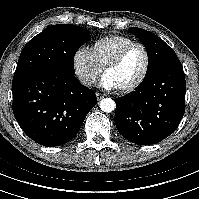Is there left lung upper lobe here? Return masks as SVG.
<instances>
[{"label":"left lung upper lobe","instance_id":"1","mask_svg":"<svg viewBox=\"0 0 199 199\" xmlns=\"http://www.w3.org/2000/svg\"><path fill=\"white\" fill-rule=\"evenodd\" d=\"M129 32L136 35L147 50L148 68L145 77L163 65L178 60L173 49L152 32L136 27L129 28Z\"/></svg>","mask_w":199,"mask_h":199}]
</instances>
